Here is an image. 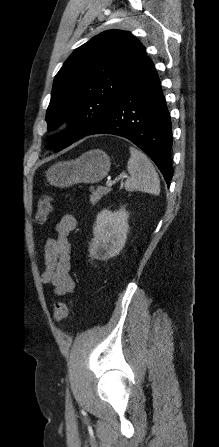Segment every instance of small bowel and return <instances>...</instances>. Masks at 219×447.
I'll return each mask as SVG.
<instances>
[{"label": "small bowel", "instance_id": "obj_1", "mask_svg": "<svg viewBox=\"0 0 219 447\" xmlns=\"http://www.w3.org/2000/svg\"><path fill=\"white\" fill-rule=\"evenodd\" d=\"M76 228V219L64 214L55 226L56 236L44 249L42 282L54 287L56 294L65 296L74 292L75 283L70 275V234Z\"/></svg>", "mask_w": 219, "mask_h": 447}]
</instances>
